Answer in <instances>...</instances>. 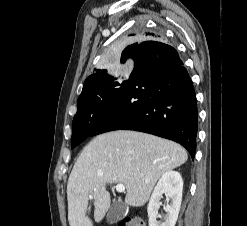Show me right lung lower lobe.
<instances>
[{
	"instance_id": "98d812e1",
	"label": "right lung lower lobe",
	"mask_w": 247,
	"mask_h": 226,
	"mask_svg": "<svg viewBox=\"0 0 247 226\" xmlns=\"http://www.w3.org/2000/svg\"><path fill=\"white\" fill-rule=\"evenodd\" d=\"M135 67L91 136L127 129L167 138L194 158L197 101L192 80L177 51L159 40L136 47Z\"/></svg>"
}]
</instances>
